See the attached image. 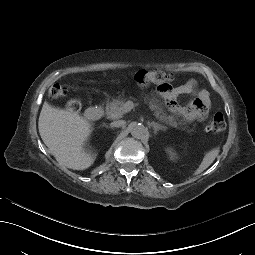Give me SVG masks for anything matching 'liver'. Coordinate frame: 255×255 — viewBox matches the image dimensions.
<instances>
[{"label": "liver", "instance_id": "1", "mask_svg": "<svg viewBox=\"0 0 255 255\" xmlns=\"http://www.w3.org/2000/svg\"><path fill=\"white\" fill-rule=\"evenodd\" d=\"M38 129L43 143L61 166L84 171L94 164L96 158L84 148L92 133V125L87 119L45 102Z\"/></svg>", "mask_w": 255, "mask_h": 255}]
</instances>
